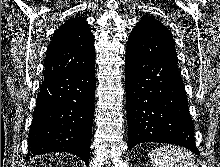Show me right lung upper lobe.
Wrapping results in <instances>:
<instances>
[{
  "label": "right lung upper lobe",
  "instance_id": "1",
  "mask_svg": "<svg viewBox=\"0 0 220 167\" xmlns=\"http://www.w3.org/2000/svg\"><path fill=\"white\" fill-rule=\"evenodd\" d=\"M94 36L83 17L66 21L53 35L45 59L44 79L94 64Z\"/></svg>",
  "mask_w": 220,
  "mask_h": 167
}]
</instances>
